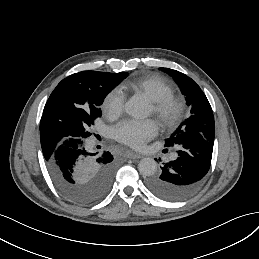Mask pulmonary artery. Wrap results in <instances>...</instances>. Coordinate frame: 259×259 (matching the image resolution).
Listing matches in <instances>:
<instances>
[{
	"label": "pulmonary artery",
	"instance_id": "obj_1",
	"mask_svg": "<svg viewBox=\"0 0 259 259\" xmlns=\"http://www.w3.org/2000/svg\"><path fill=\"white\" fill-rule=\"evenodd\" d=\"M176 157H177V155L174 154V155H172V156L169 157V160H174V159H176Z\"/></svg>",
	"mask_w": 259,
	"mask_h": 259
}]
</instances>
